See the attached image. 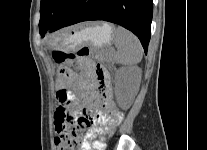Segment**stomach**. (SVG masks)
<instances>
[{
    "mask_svg": "<svg viewBox=\"0 0 207 150\" xmlns=\"http://www.w3.org/2000/svg\"><path fill=\"white\" fill-rule=\"evenodd\" d=\"M113 38L114 26L112 24L93 22L51 36L49 43L53 49L72 52L82 45H88L95 49L106 47L112 43Z\"/></svg>",
    "mask_w": 207,
    "mask_h": 150,
    "instance_id": "stomach-1",
    "label": "stomach"
}]
</instances>
